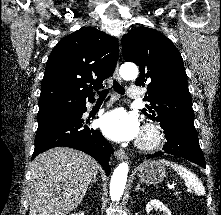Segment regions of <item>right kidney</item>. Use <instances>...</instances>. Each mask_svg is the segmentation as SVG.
<instances>
[{
	"mask_svg": "<svg viewBox=\"0 0 221 215\" xmlns=\"http://www.w3.org/2000/svg\"><path fill=\"white\" fill-rule=\"evenodd\" d=\"M71 215H75V214H71ZM77 215V214H76ZM79 215H84V213H81V214H79Z\"/></svg>",
	"mask_w": 221,
	"mask_h": 215,
	"instance_id": "ca27d5eb",
	"label": "right kidney"
}]
</instances>
